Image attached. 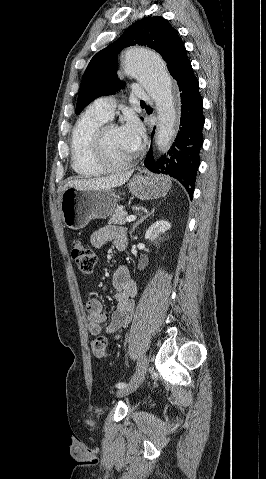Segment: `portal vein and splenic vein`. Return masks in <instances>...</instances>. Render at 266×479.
<instances>
[{"instance_id": "1", "label": "portal vein and splenic vein", "mask_w": 266, "mask_h": 479, "mask_svg": "<svg viewBox=\"0 0 266 479\" xmlns=\"http://www.w3.org/2000/svg\"><path fill=\"white\" fill-rule=\"evenodd\" d=\"M136 218H137V217H136L135 215H130V216L126 217L125 220H126L127 222H131V221L136 220Z\"/></svg>"}]
</instances>
